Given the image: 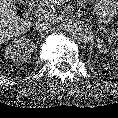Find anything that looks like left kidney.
<instances>
[{
	"instance_id": "obj_1",
	"label": "left kidney",
	"mask_w": 118,
	"mask_h": 118,
	"mask_svg": "<svg viewBox=\"0 0 118 118\" xmlns=\"http://www.w3.org/2000/svg\"><path fill=\"white\" fill-rule=\"evenodd\" d=\"M97 47H98L100 52H104L105 53L107 51L103 41H97Z\"/></svg>"
}]
</instances>
